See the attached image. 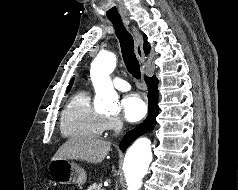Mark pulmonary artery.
<instances>
[{
    "mask_svg": "<svg viewBox=\"0 0 238 190\" xmlns=\"http://www.w3.org/2000/svg\"><path fill=\"white\" fill-rule=\"evenodd\" d=\"M113 84L114 87L120 91H128L130 89L129 83L118 77L114 78Z\"/></svg>",
    "mask_w": 238,
    "mask_h": 190,
    "instance_id": "pulmonary-artery-1",
    "label": "pulmonary artery"
}]
</instances>
